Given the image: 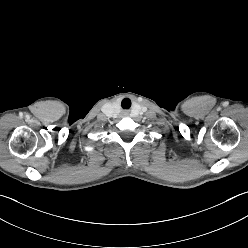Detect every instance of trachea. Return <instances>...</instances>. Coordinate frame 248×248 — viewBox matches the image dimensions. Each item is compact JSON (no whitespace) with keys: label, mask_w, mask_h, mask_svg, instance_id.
Listing matches in <instances>:
<instances>
[{"label":"trachea","mask_w":248,"mask_h":248,"mask_svg":"<svg viewBox=\"0 0 248 248\" xmlns=\"http://www.w3.org/2000/svg\"><path fill=\"white\" fill-rule=\"evenodd\" d=\"M131 106V101L130 99H124L123 102H122V107L124 109H129Z\"/></svg>","instance_id":"obj_1"}]
</instances>
